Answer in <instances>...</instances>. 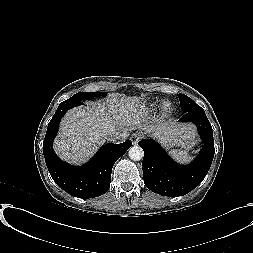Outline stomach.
<instances>
[{"mask_svg":"<svg viewBox=\"0 0 253 253\" xmlns=\"http://www.w3.org/2000/svg\"><path fill=\"white\" fill-rule=\"evenodd\" d=\"M165 144V146L167 147V148H171V147H174L175 146V144L173 143V142H166V143H164Z\"/></svg>","mask_w":253,"mask_h":253,"instance_id":"0dacf381","label":"stomach"}]
</instances>
